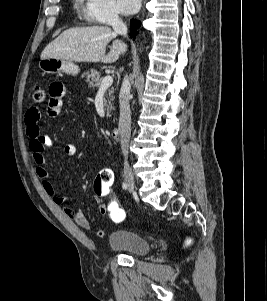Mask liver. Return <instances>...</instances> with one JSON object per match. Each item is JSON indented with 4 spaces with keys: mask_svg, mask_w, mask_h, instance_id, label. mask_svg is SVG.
<instances>
[{
    "mask_svg": "<svg viewBox=\"0 0 267 301\" xmlns=\"http://www.w3.org/2000/svg\"><path fill=\"white\" fill-rule=\"evenodd\" d=\"M116 37L117 33L106 26L68 29L45 47L41 59L113 63L127 50L126 45ZM113 39L110 51L105 55L106 46Z\"/></svg>",
    "mask_w": 267,
    "mask_h": 301,
    "instance_id": "liver-1",
    "label": "liver"
}]
</instances>
